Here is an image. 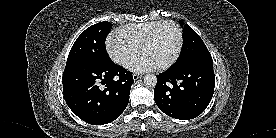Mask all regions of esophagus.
<instances>
[{"label":"esophagus","mask_w":276,"mask_h":138,"mask_svg":"<svg viewBox=\"0 0 276 138\" xmlns=\"http://www.w3.org/2000/svg\"><path fill=\"white\" fill-rule=\"evenodd\" d=\"M141 77H142V75H140L138 73L133 74V80H135V81L138 80Z\"/></svg>","instance_id":"esophagus-1"}]
</instances>
